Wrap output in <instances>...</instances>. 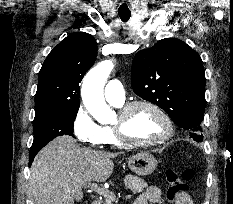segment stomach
Masks as SVG:
<instances>
[{
  "instance_id": "obj_1",
  "label": "stomach",
  "mask_w": 233,
  "mask_h": 204,
  "mask_svg": "<svg viewBox=\"0 0 233 204\" xmlns=\"http://www.w3.org/2000/svg\"><path fill=\"white\" fill-rule=\"evenodd\" d=\"M156 158L149 152H140L128 158V166L132 172L139 176L153 173L157 167Z\"/></svg>"
}]
</instances>
